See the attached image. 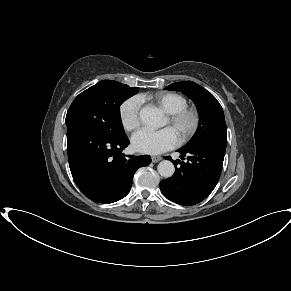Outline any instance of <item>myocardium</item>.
I'll return each instance as SVG.
<instances>
[{
    "label": "myocardium",
    "instance_id": "myocardium-1",
    "mask_svg": "<svg viewBox=\"0 0 291 291\" xmlns=\"http://www.w3.org/2000/svg\"><path fill=\"white\" fill-rule=\"evenodd\" d=\"M167 118L171 127L179 125L184 120L190 121L189 128L179 138L181 144L190 141L196 135L201 123V116L198 109L188 106L176 112L168 113Z\"/></svg>",
    "mask_w": 291,
    "mask_h": 291
}]
</instances>
